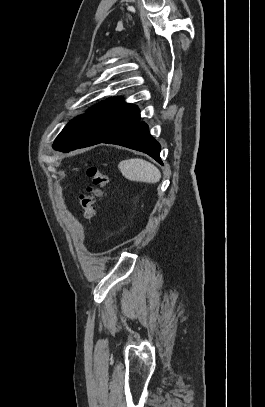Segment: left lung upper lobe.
Wrapping results in <instances>:
<instances>
[{
	"label": "left lung upper lobe",
	"instance_id": "obj_1",
	"mask_svg": "<svg viewBox=\"0 0 265 407\" xmlns=\"http://www.w3.org/2000/svg\"><path fill=\"white\" fill-rule=\"evenodd\" d=\"M140 118L135 105L125 103L120 97L111 98L90 112L70 121L54 141L53 149L63 147H87L100 143Z\"/></svg>",
	"mask_w": 265,
	"mask_h": 407
}]
</instances>
